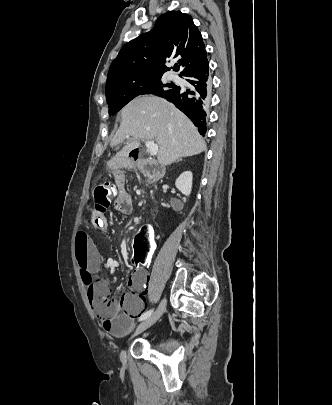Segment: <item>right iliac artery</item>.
I'll use <instances>...</instances> for the list:
<instances>
[{"mask_svg": "<svg viewBox=\"0 0 332 405\" xmlns=\"http://www.w3.org/2000/svg\"><path fill=\"white\" fill-rule=\"evenodd\" d=\"M152 313H153V310L146 311L145 313H143V314L138 318V320H139V321H143V320L147 319L148 317H150Z\"/></svg>", "mask_w": 332, "mask_h": 405, "instance_id": "82829eb1", "label": "right iliac artery"}]
</instances>
